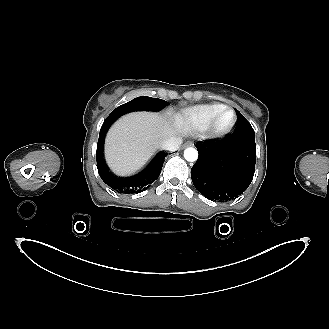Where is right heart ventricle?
<instances>
[{"mask_svg":"<svg viewBox=\"0 0 329 329\" xmlns=\"http://www.w3.org/2000/svg\"><path fill=\"white\" fill-rule=\"evenodd\" d=\"M223 107L222 103L196 105L183 109L175 114V121L184 130H203L212 117Z\"/></svg>","mask_w":329,"mask_h":329,"instance_id":"obj_1","label":"right heart ventricle"}]
</instances>
